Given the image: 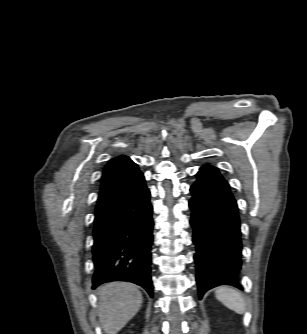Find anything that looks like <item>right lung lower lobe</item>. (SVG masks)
<instances>
[{
  "label": "right lung lower lobe",
  "mask_w": 307,
  "mask_h": 334,
  "mask_svg": "<svg viewBox=\"0 0 307 334\" xmlns=\"http://www.w3.org/2000/svg\"><path fill=\"white\" fill-rule=\"evenodd\" d=\"M149 198L141 173L98 200L93 229V288L105 282L128 281L153 296L150 247L154 223Z\"/></svg>",
  "instance_id": "1"
}]
</instances>
